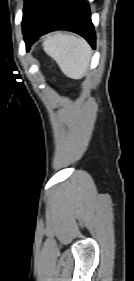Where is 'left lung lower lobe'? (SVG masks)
Segmentation results:
<instances>
[{
	"label": "left lung lower lobe",
	"instance_id": "left-lung-lower-lobe-1",
	"mask_svg": "<svg viewBox=\"0 0 134 281\" xmlns=\"http://www.w3.org/2000/svg\"><path fill=\"white\" fill-rule=\"evenodd\" d=\"M62 28L83 36L95 48V33L86 0H40L23 28L27 50L35 38Z\"/></svg>",
	"mask_w": 134,
	"mask_h": 281
}]
</instances>
